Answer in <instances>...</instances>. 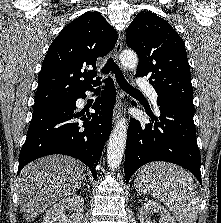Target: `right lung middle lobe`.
I'll list each match as a JSON object with an SVG mask.
<instances>
[{
    "mask_svg": "<svg viewBox=\"0 0 221 223\" xmlns=\"http://www.w3.org/2000/svg\"><path fill=\"white\" fill-rule=\"evenodd\" d=\"M66 101V100H65ZM61 102H64V101H60V102H56V103H52V104H47V105H39V106H34L33 110H41V109H45L51 105H54V104H57V103H61Z\"/></svg>",
    "mask_w": 221,
    "mask_h": 223,
    "instance_id": "dd1d6c3e",
    "label": "right lung middle lobe"
}]
</instances>
